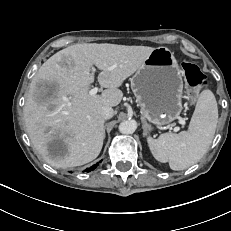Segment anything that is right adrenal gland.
Wrapping results in <instances>:
<instances>
[{
    "label": "right adrenal gland",
    "mask_w": 231,
    "mask_h": 231,
    "mask_svg": "<svg viewBox=\"0 0 231 231\" xmlns=\"http://www.w3.org/2000/svg\"><path fill=\"white\" fill-rule=\"evenodd\" d=\"M103 131H104V133H105V126H104V128H103Z\"/></svg>",
    "instance_id": "2a0ac1e0"
}]
</instances>
